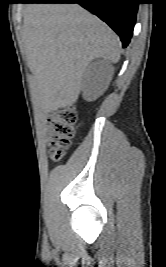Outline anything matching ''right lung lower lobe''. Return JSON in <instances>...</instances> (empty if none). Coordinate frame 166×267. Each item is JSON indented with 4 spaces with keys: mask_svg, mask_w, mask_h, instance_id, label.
Here are the masks:
<instances>
[{
    "mask_svg": "<svg viewBox=\"0 0 166 267\" xmlns=\"http://www.w3.org/2000/svg\"><path fill=\"white\" fill-rule=\"evenodd\" d=\"M22 3H78L106 22L127 47L133 34L139 0H24Z\"/></svg>",
    "mask_w": 166,
    "mask_h": 267,
    "instance_id": "right-lung-lower-lobe-1",
    "label": "right lung lower lobe"
}]
</instances>
